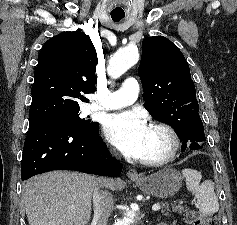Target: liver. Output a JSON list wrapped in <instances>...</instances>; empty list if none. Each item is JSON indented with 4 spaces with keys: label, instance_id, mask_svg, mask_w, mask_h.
Returning <instances> with one entry per match:
<instances>
[{
    "label": "liver",
    "instance_id": "liver-1",
    "mask_svg": "<svg viewBox=\"0 0 237 225\" xmlns=\"http://www.w3.org/2000/svg\"><path fill=\"white\" fill-rule=\"evenodd\" d=\"M99 179L68 171H51L28 180L24 186L29 225H87L91 200ZM108 187L118 182L107 179Z\"/></svg>",
    "mask_w": 237,
    "mask_h": 225
}]
</instances>
